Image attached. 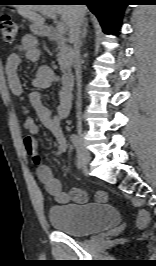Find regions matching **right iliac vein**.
<instances>
[{"mask_svg":"<svg viewBox=\"0 0 156 266\" xmlns=\"http://www.w3.org/2000/svg\"><path fill=\"white\" fill-rule=\"evenodd\" d=\"M77 133H78V138H79V143H80V152H81V159L82 162L85 165H88L91 159L89 151L86 149L84 145V135L82 131V127L80 125L77 126Z\"/></svg>","mask_w":156,"mask_h":266,"instance_id":"1","label":"right iliac vein"}]
</instances>
